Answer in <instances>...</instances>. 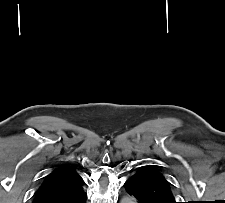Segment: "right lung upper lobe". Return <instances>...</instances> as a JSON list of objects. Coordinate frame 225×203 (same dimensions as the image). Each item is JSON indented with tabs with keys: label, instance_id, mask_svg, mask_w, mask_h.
Instances as JSON below:
<instances>
[{
	"label": "right lung upper lobe",
	"instance_id": "1",
	"mask_svg": "<svg viewBox=\"0 0 225 203\" xmlns=\"http://www.w3.org/2000/svg\"><path fill=\"white\" fill-rule=\"evenodd\" d=\"M84 185V180L73 167L57 168L46 176L33 203L74 200L84 193Z\"/></svg>",
	"mask_w": 225,
	"mask_h": 203
}]
</instances>
